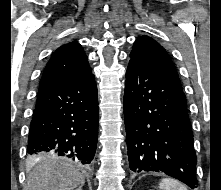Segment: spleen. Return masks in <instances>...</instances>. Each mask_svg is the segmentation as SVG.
Wrapping results in <instances>:
<instances>
[{"instance_id": "spleen-1", "label": "spleen", "mask_w": 221, "mask_h": 190, "mask_svg": "<svg viewBox=\"0 0 221 190\" xmlns=\"http://www.w3.org/2000/svg\"><path fill=\"white\" fill-rule=\"evenodd\" d=\"M159 188L160 190H187L183 184L170 178L162 179Z\"/></svg>"}]
</instances>
